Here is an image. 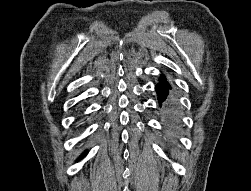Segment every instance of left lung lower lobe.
<instances>
[{"instance_id":"obj_1","label":"left lung lower lobe","mask_w":251,"mask_h":191,"mask_svg":"<svg viewBox=\"0 0 251 191\" xmlns=\"http://www.w3.org/2000/svg\"><path fill=\"white\" fill-rule=\"evenodd\" d=\"M172 89L171 85L165 80V77L162 75L159 79V83L155 86V90L158 95L159 106L164 108L165 114L171 122L176 121V100L170 90Z\"/></svg>"}]
</instances>
